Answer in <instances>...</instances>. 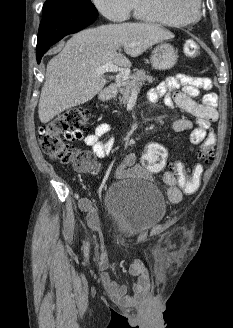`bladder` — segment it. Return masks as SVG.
Masks as SVG:
<instances>
[{
    "label": "bladder",
    "mask_w": 233,
    "mask_h": 328,
    "mask_svg": "<svg viewBox=\"0 0 233 328\" xmlns=\"http://www.w3.org/2000/svg\"><path fill=\"white\" fill-rule=\"evenodd\" d=\"M103 206L118 231L129 237L149 231L167 211L163 193L144 180L113 183L104 194Z\"/></svg>",
    "instance_id": "31cf9c89"
}]
</instances>
